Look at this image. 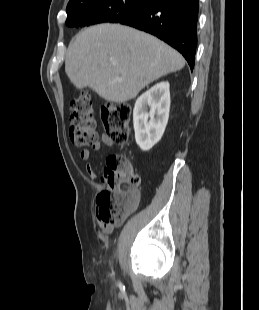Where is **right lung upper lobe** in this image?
<instances>
[{
    "mask_svg": "<svg viewBox=\"0 0 259 310\" xmlns=\"http://www.w3.org/2000/svg\"><path fill=\"white\" fill-rule=\"evenodd\" d=\"M101 0H70L67 9L77 8L84 5H90Z\"/></svg>",
    "mask_w": 259,
    "mask_h": 310,
    "instance_id": "1",
    "label": "right lung upper lobe"
}]
</instances>
